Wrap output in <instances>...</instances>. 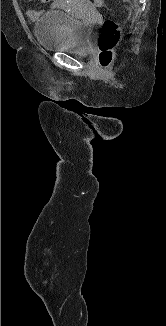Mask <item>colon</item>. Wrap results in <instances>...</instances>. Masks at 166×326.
Returning <instances> with one entry per match:
<instances>
[{
    "mask_svg": "<svg viewBox=\"0 0 166 326\" xmlns=\"http://www.w3.org/2000/svg\"><path fill=\"white\" fill-rule=\"evenodd\" d=\"M95 8H100L102 2L100 0H92ZM120 39V28L118 24L110 19L104 21L100 35L98 37V47L100 50V65L106 67L110 65L114 58V48Z\"/></svg>",
    "mask_w": 166,
    "mask_h": 326,
    "instance_id": "colon-1",
    "label": "colon"
}]
</instances>
